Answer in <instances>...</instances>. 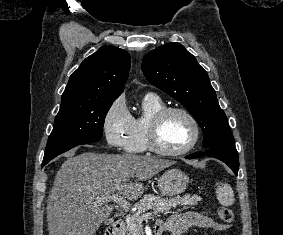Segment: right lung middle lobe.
Masks as SVG:
<instances>
[{"label":"right lung middle lobe","instance_id":"1","mask_svg":"<svg viewBox=\"0 0 283 235\" xmlns=\"http://www.w3.org/2000/svg\"><path fill=\"white\" fill-rule=\"evenodd\" d=\"M113 101L62 102L48 138L43 162L71 148L101 139L105 116Z\"/></svg>","mask_w":283,"mask_h":235}]
</instances>
